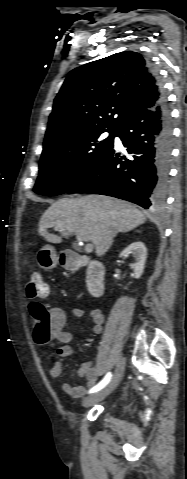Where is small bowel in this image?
I'll use <instances>...</instances> for the list:
<instances>
[{
  "label": "small bowel",
  "instance_id": "small-bowel-1",
  "mask_svg": "<svg viewBox=\"0 0 187 479\" xmlns=\"http://www.w3.org/2000/svg\"><path fill=\"white\" fill-rule=\"evenodd\" d=\"M31 311V309H29ZM51 317V325L49 332L53 339L57 342L56 353L58 356L66 358L73 355V349L70 346L72 334L64 329L66 323V314L62 308L53 307L49 310ZM71 313L77 317L85 316V311L79 307L71 308ZM89 317L92 322V331L96 334L102 331L104 322V315L99 308H94L89 312ZM62 373V364L55 362L49 368V375L52 378H58ZM74 377L83 378L87 380V387L82 385H73L70 382H64L61 385L62 392L72 398H81L85 395L87 388L94 386L99 380V372L93 366L92 362H84L74 373Z\"/></svg>",
  "mask_w": 187,
  "mask_h": 479
}]
</instances>
